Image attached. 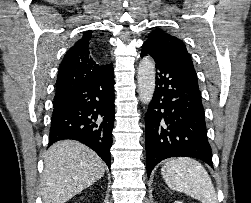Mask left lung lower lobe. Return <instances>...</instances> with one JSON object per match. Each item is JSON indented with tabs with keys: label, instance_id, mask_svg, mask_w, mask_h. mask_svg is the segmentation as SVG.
Masks as SVG:
<instances>
[{
	"label": "left lung lower lobe",
	"instance_id": "left-lung-lower-lobe-1",
	"mask_svg": "<svg viewBox=\"0 0 251 203\" xmlns=\"http://www.w3.org/2000/svg\"><path fill=\"white\" fill-rule=\"evenodd\" d=\"M156 63V87L145 116L147 175L169 157H193L212 167L196 73L179 60L143 44L141 57Z\"/></svg>",
	"mask_w": 251,
	"mask_h": 203
}]
</instances>
